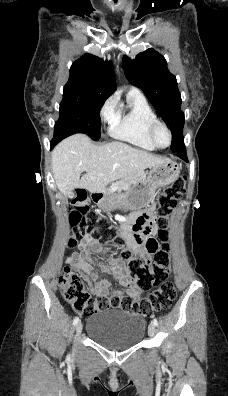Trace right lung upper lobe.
Listing matches in <instances>:
<instances>
[{
	"label": "right lung upper lobe",
	"instance_id": "right-lung-upper-lobe-1",
	"mask_svg": "<svg viewBox=\"0 0 228 396\" xmlns=\"http://www.w3.org/2000/svg\"><path fill=\"white\" fill-rule=\"evenodd\" d=\"M64 89L94 92L108 98L116 90L112 62L103 61L92 54L82 56L72 64Z\"/></svg>",
	"mask_w": 228,
	"mask_h": 396
}]
</instances>
